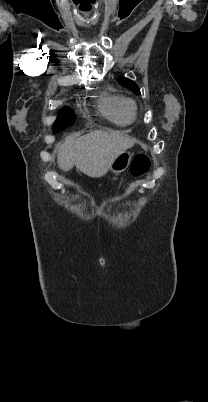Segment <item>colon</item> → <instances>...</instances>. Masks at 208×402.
I'll return each instance as SVG.
<instances>
[{
    "label": "colon",
    "mask_w": 208,
    "mask_h": 402,
    "mask_svg": "<svg viewBox=\"0 0 208 402\" xmlns=\"http://www.w3.org/2000/svg\"><path fill=\"white\" fill-rule=\"evenodd\" d=\"M152 164L147 154L141 153L131 163V175L128 179V185L133 186L135 179L147 175L151 170Z\"/></svg>",
    "instance_id": "1"
}]
</instances>
